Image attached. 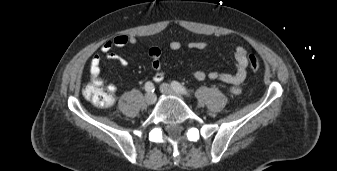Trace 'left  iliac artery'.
<instances>
[{
  "label": "left iliac artery",
  "mask_w": 337,
  "mask_h": 171,
  "mask_svg": "<svg viewBox=\"0 0 337 171\" xmlns=\"http://www.w3.org/2000/svg\"><path fill=\"white\" fill-rule=\"evenodd\" d=\"M171 86L173 87V89L176 92H179V93H181L183 95L191 96L190 93L188 92V90L184 86H182L179 82L173 81L171 83Z\"/></svg>",
  "instance_id": "1"
}]
</instances>
